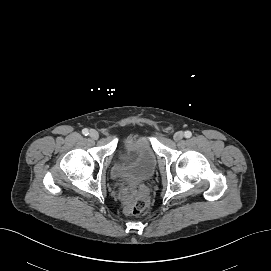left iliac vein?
Listing matches in <instances>:
<instances>
[{"label":"left iliac vein","mask_w":271,"mask_h":271,"mask_svg":"<svg viewBox=\"0 0 271 271\" xmlns=\"http://www.w3.org/2000/svg\"><path fill=\"white\" fill-rule=\"evenodd\" d=\"M184 137V134L182 131H177L174 136H173V139L176 141V142H179L183 139Z\"/></svg>","instance_id":"obj_1"}]
</instances>
